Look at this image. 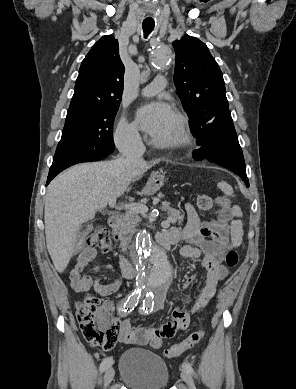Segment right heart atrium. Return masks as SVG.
<instances>
[{
  "label": "right heart atrium",
  "instance_id": "d8ad5b80",
  "mask_svg": "<svg viewBox=\"0 0 296 389\" xmlns=\"http://www.w3.org/2000/svg\"><path fill=\"white\" fill-rule=\"evenodd\" d=\"M140 140V135L135 125L125 118H121L115 132L117 146L122 150H129L138 146Z\"/></svg>",
  "mask_w": 296,
  "mask_h": 389
}]
</instances>
